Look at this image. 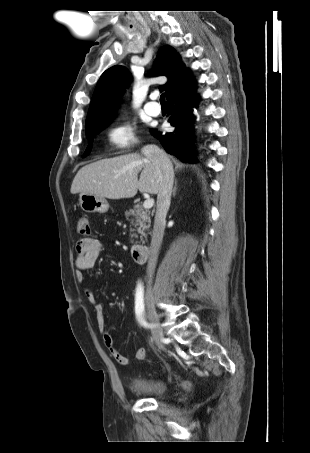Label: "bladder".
Returning a JSON list of instances; mask_svg holds the SVG:
<instances>
[{
  "mask_svg": "<svg viewBox=\"0 0 310 453\" xmlns=\"http://www.w3.org/2000/svg\"><path fill=\"white\" fill-rule=\"evenodd\" d=\"M129 387L132 391L145 396H160L167 391V384L163 380L146 376L134 377Z\"/></svg>",
  "mask_w": 310,
  "mask_h": 453,
  "instance_id": "1",
  "label": "bladder"
}]
</instances>
